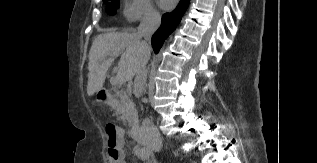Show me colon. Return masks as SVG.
<instances>
[{
	"label": "colon",
	"instance_id": "1",
	"mask_svg": "<svg viewBox=\"0 0 317 163\" xmlns=\"http://www.w3.org/2000/svg\"><path fill=\"white\" fill-rule=\"evenodd\" d=\"M106 134H107V144L109 150V156L112 160L118 161L122 156V152L118 148L120 143V136L118 130L114 125H108L106 127Z\"/></svg>",
	"mask_w": 317,
	"mask_h": 163
}]
</instances>
